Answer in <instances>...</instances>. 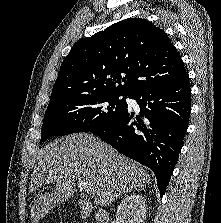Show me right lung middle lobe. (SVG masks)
Instances as JSON below:
<instances>
[{
  "mask_svg": "<svg viewBox=\"0 0 221 223\" xmlns=\"http://www.w3.org/2000/svg\"><path fill=\"white\" fill-rule=\"evenodd\" d=\"M100 93L66 97L49 103L41 130L43 142L51 136L88 132L101 127L127 108L125 97Z\"/></svg>",
  "mask_w": 221,
  "mask_h": 223,
  "instance_id": "dd1d6c3e",
  "label": "right lung middle lobe"
}]
</instances>
